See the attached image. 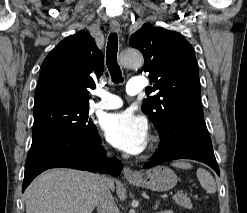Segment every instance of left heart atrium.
<instances>
[{
	"label": "left heart atrium",
	"mask_w": 247,
	"mask_h": 213,
	"mask_svg": "<svg viewBox=\"0 0 247 213\" xmlns=\"http://www.w3.org/2000/svg\"><path fill=\"white\" fill-rule=\"evenodd\" d=\"M101 128L113 146L127 153L139 154L147 145V122L130 111L106 115L101 121Z\"/></svg>",
	"instance_id": "1"
}]
</instances>
